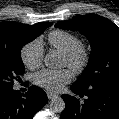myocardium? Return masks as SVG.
<instances>
[{
    "label": "myocardium",
    "mask_w": 119,
    "mask_h": 119,
    "mask_svg": "<svg viewBox=\"0 0 119 119\" xmlns=\"http://www.w3.org/2000/svg\"><path fill=\"white\" fill-rule=\"evenodd\" d=\"M63 56L68 62V67L75 73H80L89 63L90 51L84 43L79 42L72 49L63 53Z\"/></svg>",
    "instance_id": "f54148a6"
}]
</instances>
